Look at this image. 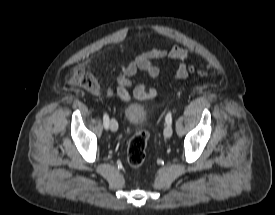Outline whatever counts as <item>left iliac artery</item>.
<instances>
[{"label": "left iliac artery", "instance_id": "44dca946", "mask_svg": "<svg viewBox=\"0 0 275 215\" xmlns=\"http://www.w3.org/2000/svg\"><path fill=\"white\" fill-rule=\"evenodd\" d=\"M165 120H166L167 124H171L172 123V115H171L170 112L166 115Z\"/></svg>", "mask_w": 275, "mask_h": 215}]
</instances>
